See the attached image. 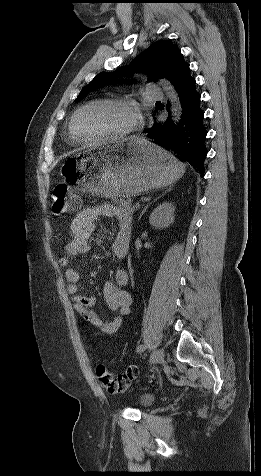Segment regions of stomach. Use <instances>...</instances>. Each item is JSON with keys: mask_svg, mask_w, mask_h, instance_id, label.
Here are the masks:
<instances>
[{"mask_svg": "<svg viewBox=\"0 0 261 476\" xmlns=\"http://www.w3.org/2000/svg\"><path fill=\"white\" fill-rule=\"evenodd\" d=\"M63 178L86 195L128 198L173 184L184 165L157 145L129 137L115 144H93L64 162Z\"/></svg>", "mask_w": 261, "mask_h": 476, "instance_id": "0dacf381", "label": "stomach"}]
</instances>
